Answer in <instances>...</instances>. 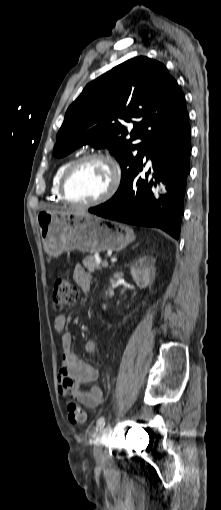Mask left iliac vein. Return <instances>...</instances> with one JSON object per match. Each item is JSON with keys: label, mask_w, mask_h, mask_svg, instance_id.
<instances>
[{"label": "left iliac vein", "mask_w": 221, "mask_h": 510, "mask_svg": "<svg viewBox=\"0 0 221 510\" xmlns=\"http://www.w3.org/2000/svg\"><path fill=\"white\" fill-rule=\"evenodd\" d=\"M111 433V427L108 424L102 431L99 437V442L95 446L94 449V457L98 464H101L103 462V451H102V445L103 443L110 437Z\"/></svg>", "instance_id": "4c4485c4"}]
</instances>
